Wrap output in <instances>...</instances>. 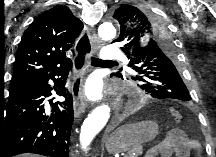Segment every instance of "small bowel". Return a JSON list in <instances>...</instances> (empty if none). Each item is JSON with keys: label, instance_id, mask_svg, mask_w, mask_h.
I'll return each instance as SVG.
<instances>
[{"label": "small bowel", "instance_id": "small-bowel-1", "mask_svg": "<svg viewBox=\"0 0 216 157\" xmlns=\"http://www.w3.org/2000/svg\"><path fill=\"white\" fill-rule=\"evenodd\" d=\"M200 150L201 146L196 140L189 138L181 130H172L163 142L159 155L168 156L173 153L177 157H190L192 151L199 153Z\"/></svg>", "mask_w": 216, "mask_h": 157}]
</instances>
